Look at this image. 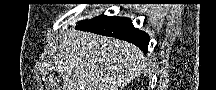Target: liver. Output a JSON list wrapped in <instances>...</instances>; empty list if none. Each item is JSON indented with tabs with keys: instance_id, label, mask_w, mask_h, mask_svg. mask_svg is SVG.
<instances>
[{
	"instance_id": "liver-1",
	"label": "liver",
	"mask_w": 216,
	"mask_h": 90,
	"mask_svg": "<svg viewBox=\"0 0 216 90\" xmlns=\"http://www.w3.org/2000/svg\"><path fill=\"white\" fill-rule=\"evenodd\" d=\"M56 66L65 90H124L146 58L133 44L90 32H66Z\"/></svg>"
}]
</instances>
